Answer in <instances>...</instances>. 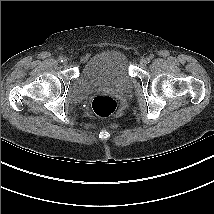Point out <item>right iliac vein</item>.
<instances>
[{
  "label": "right iliac vein",
  "instance_id": "right-iliac-vein-1",
  "mask_svg": "<svg viewBox=\"0 0 214 214\" xmlns=\"http://www.w3.org/2000/svg\"><path fill=\"white\" fill-rule=\"evenodd\" d=\"M64 65H67L68 63V60L65 58L64 61H63Z\"/></svg>",
  "mask_w": 214,
  "mask_h": 214
}]
</instances>
